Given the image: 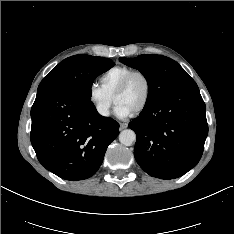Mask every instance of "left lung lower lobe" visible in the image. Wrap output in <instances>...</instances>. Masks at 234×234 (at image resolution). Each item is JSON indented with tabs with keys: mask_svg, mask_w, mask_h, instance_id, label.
<instances>
[{
	"mask_svg": "<svg viewBox=\"0 0 234 234\" xmlns=\"http://www.w3.org/2000/svg\"><path fill=\"white\" fill-rule=\"evenodd\" d=\"M134 156L149 175L178 178L199 162L208 134L206 107L195 82L170 93L129 123Z\"/></svg>",
	"mask_w": 234,
	"mask_h": 234,
	"instance_id": "left-lung-lower-lobe-1",
	"label": "left lung lower lobe"
}]
</instances>
